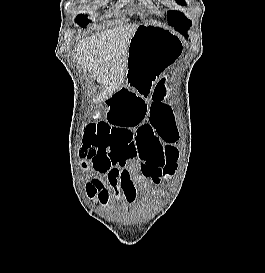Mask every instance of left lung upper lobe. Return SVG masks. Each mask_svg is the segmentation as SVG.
<instances>
[{
    "instance_id": "1",
    "label": "left lung upper lobe",
    "mask_w": 265,
    "mask_h": 273,
    "mask_svg": "<svg viewBox=\"0 0 265 273\" xmlns=\"http://www.w3.org/2000/svg\"><path fill=\"white\" fill-rule=\"evenodd\" d=\"M177 3L183 5L185 4V1L177 0ZM168 16H169L168 24L170 26H173L175 30H177L178 32H187L188 27H186V25L190 26L191 21L188 20L183 13L171 10L168 12Z\"/></svg>"
}]
</instances>
